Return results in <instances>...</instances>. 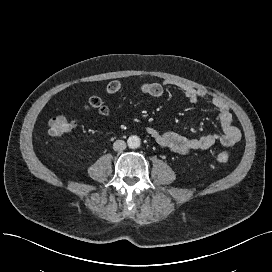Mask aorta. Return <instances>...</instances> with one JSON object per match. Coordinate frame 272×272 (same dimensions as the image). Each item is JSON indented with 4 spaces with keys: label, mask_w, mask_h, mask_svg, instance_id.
<instances>
[{
    "label": "aorta",
    "mask_w": 272,
    "mask_h": 272,
    "mask_svg": "<svg viewBox=\"0 0 272 272\" xmlns=\"http://www.w3.org/2000/svg\"><path fill=\"white\" fill-rule=\"evenodd\" d=\"M127 144L129 146V148L135 149L138 148L141 144V140L138 136L136 135H131L128 140H127Z\"/></svg>",
    "instance_id": "1"
}]
</instances>
